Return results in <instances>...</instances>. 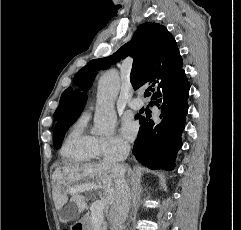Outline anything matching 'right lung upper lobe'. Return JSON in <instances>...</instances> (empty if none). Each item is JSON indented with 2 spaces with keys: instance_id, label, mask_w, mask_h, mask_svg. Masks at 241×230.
<instances>
[{
  "instance_id": "obj_1",
  "label": "right lung upper lobe",
  "mask_w": 241,
  "mask_h": 230,
  "mask_svg": "<svg viewBox=\"0 0 241 230\" xmlns=\"http://www.w3.org/2000/svg\"><path fill=\"white\" fill-rule=\"evenodd\" d=\"M127 56L133 57L130 80L134 90L144 85H151L149 89L156 87L167 75L183 65L177 43L166 27L147 22L140 25L132 39L114 54L90 61L75 75L74 83L80 84L93 71L106 69ZM71 94V87L63 92L54 113L55 119L62 117Z\"/></svg>"
}]
</instances>
